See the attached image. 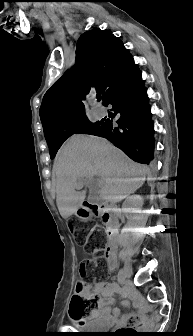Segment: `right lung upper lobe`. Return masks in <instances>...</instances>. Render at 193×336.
<instances>
[{
	"instance_id": "obj_1",
	"label": "right lung upper lobe",
	"mask_w": 193,
	"mask_h": 336,
	"mask_svg": "<svg viewBox=\"0 0 193 336\" xmlns=\"http://www.w3.org/2000/svg\"><path fill=\"white\" fill-rule=\"evenodd\" d=\"M133 62L122 41L110 31L95 28L82 34L77 42L76 64L43 97L40 119L46 141L85 117L82 100L90 92L101 93L104 102Z\"/></svg>"
}]
</instances>
